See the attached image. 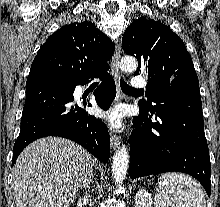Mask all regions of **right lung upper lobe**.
I'll return each instance as SVG.
<instances>
[{"label":"right lung upper lobe","mask_w":220,"mask_h":207,"mask_svg":"<svg viewBox=\"0 0 220 207\" xmlns=\"http://www.w3.org/2000/svg\"><path fill=\"white\" fill-rule=\"evenodd\" d=\"M114 43L90 21L64 25L40 47L28 78L54 76L82 81L109 69Z\"/></svg>","instance_id":"1"}]
</instances>
